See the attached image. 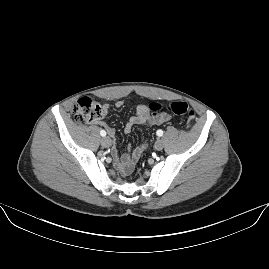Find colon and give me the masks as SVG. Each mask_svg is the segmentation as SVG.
Returning a JSON list of instances; mask_svg holds the SVG:
<instances>
[{
  "label": "colon",
  "instance_id": "obj_1",
  "mask_svg": "<svg viewBox=\"0 0 269 269\" xmlns=\"http://www.w3.org/2000/svg\"><path fill=\"white\" fill-rule=\"evenodd\" d=\"M152 109L155 111L166 110L171 114L177 116H187L186 129L189 131L191 128L192 120L195 118L194 111L183 101H171L166 104L163 103H153L151 105ZM72 115L75 121L79 124H85L90 122H96L100 120L103 116V109L101 103H99L93 97H82L80 98L76 105L72 109ZM127 171L130 170V166L126 168Z\"/></svg>",
  "mask_w": 269,
  "mask_h": 269
}]
</instances>
